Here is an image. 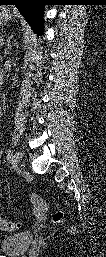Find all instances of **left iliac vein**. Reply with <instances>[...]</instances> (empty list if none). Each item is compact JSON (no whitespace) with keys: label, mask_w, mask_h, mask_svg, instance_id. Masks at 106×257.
Wrapping results in <instances>:
<instances>
[{"label":"left iliac vein","mask_w":106,"mask_h":257,"mask_svg":"<svg viewBox=\"0 0 106 257\" xmlns=\"http://www.w3.org/2000/svg\"><path fill=\"white\" fill-rule=\"evenodd\" d=\"M21 158V153L16 151L15 155H14V167L18 169V163L20 161Z\"/></svg>","instance_id":"4c4485c4"}]
</instances>
